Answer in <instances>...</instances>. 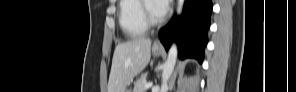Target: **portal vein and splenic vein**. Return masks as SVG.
I'll use <instances>...</instances> for the list:
<instances>
[{
	"mask_svg": "<svg viewBox=\"0 0 296 92\" xmlns=\"http://www.w3.org/2000/svg\"><path fill=\"white\" fill-rule=\"evenodd\" d=\"M152 85H153L152 82L146 83V84H145V88H150V87H152Z\"/></svg>",
	"mask_w": 296,
	"mask_h": 92,
	"instance_id": "obj_1",
	"label": "portal vein and splenic vein"
}]
</instances>
